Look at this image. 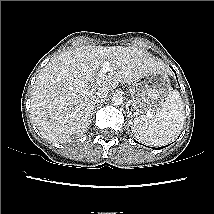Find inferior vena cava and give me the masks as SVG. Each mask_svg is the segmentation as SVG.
I'll return each mask as SVG.
<instances>
[{"label":"inferior vena cava","instance_id":"1","mask_svg":"<svg viewBox=\"0 0 214 214\" xmlns=\"http://www.w3.org/2000/svg\"><path fill=\"white\" fill-rule=\"evenodd\" d=\"M107 92L105 90H98L90 95V102L92 104H97L103 102L107 98Z\"/></svg>","mask_w":214,"mask_h":214}]
</instances>
